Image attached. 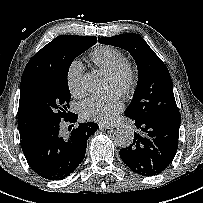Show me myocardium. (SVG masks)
<instances>
[{"instance_id":"myocardium-1","label":"myocardium","mask_w":203,"mask_h":203,"mask_svg":"<svg viewBox=\"0 0 203 203\" xmlns=\"http://www.w3.org/2000/svg\"><path fill=\"white\" fill-rule=\"evenodd\" d=\"M109 76L112 78L125 77L126 82L123 87L124 93H129L136 85L137 72L133 63L125 60L118 64L113 70L109 72Z\"/></svg>"}]
</instances>
